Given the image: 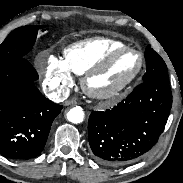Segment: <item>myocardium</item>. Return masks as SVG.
Segmentation results:
<instances>
[{"label":"myocardium","instance_id":"1","mask_svg":"<svg viewBox=\"0 0 183 183\" xmlns=\"http://www.w3.org/2000/svg\"><path fill=\"white\" fill-rule=\"evenodd\" d=\"M125 52H134L140 58V64L135 74L121 86L108 91H98L92 88L91 86L92 79L98 76L99 74L103 73L104 71H106L115 61V59L119 55ZM144 66H145V57L144 54L139 49L128 46L116 48L111 52H109L101 61H99L96 65L91 67L83 75L81 81L82 89L87 96L96 100H109L121 97L127 90H129L134 85V83L141 76Z\"/></svg>","mask_w":183,"mask_h":183}]
</instances>
